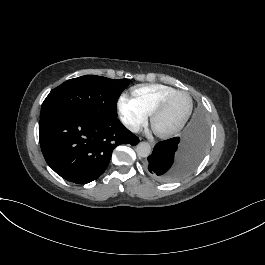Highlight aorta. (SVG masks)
<instances>
[{
    "mask_svg": "<svg viewBox=\"0 0 265 265\" xmlns=\"http://www.w3.org/2000/svg\"><path fill=\"white\" fill-rule=\"evenodd\" d=\"M136 152L140 157H148L151 154V146L147 142H140L136 147Z\"/></svg>",
    "mask_w": 265,
    "mask_h": 265,
    "instance_id": "obj_1",
    "label": "aorta"
}]
</instances>
